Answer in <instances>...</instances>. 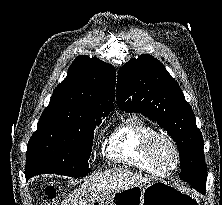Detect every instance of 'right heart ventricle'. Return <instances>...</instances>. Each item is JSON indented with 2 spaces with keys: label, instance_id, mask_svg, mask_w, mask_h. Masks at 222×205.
I'll return each instance as SVG.
<instances>
[{
  "label": "right heart ventricle",
  "instance_id": "1",
  "mask_svg": "<svg viewBox=\"0 0 222 205\" xmlns=\"http://www.w3.org/2000/svg\"><path fill=\"white\" fill-rule=\"evenodd\" d=\"M152 132L154 130L142 120L129 118L112 135L108 147L109 157L115 162L163 176L165 173L151 162L146 151V140Z\"/></svg>",
  "mask_w": 222,
  "mask_h": 205
}]
</instances>
